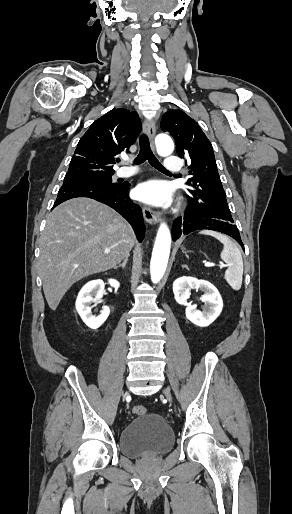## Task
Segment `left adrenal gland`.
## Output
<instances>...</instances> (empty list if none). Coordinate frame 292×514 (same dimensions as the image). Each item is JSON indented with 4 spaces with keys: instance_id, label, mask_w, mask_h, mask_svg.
<instances>
[{
    "instance_id": "1",
    "label": "left adrenal gland",
    "mask_w": 292,
    "mask_h": 514,
    "mask_svg": "<svg viewBox=\"0 0 292 514\" xmlns=\"http://www.w3.org/2000/svg\"><path fill=\"white\" fill-rule=\"evenodd\" d=\"M182 268H187V266H182ZM187 270H188V268H187Z\"/></svg>"
}]
</instances>
